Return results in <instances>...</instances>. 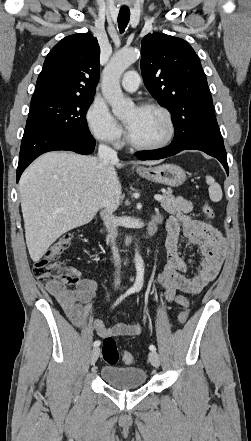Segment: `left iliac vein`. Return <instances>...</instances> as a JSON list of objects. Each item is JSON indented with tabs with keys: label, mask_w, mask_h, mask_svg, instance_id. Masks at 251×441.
<instances>
[{
	"label": "left iliac vein",
	"mask_w": 251,
	"mask_h": 441,
	"mask_svg": "<svg viewBox=\"0 0 251 441\" xmlns=\"http://www.w3.org/2000/svg\"><path fill=\"white\" fill-rule=\"evenodd\" d=\"M149 361L154 367L160 366V357L156 351H151L149 353Z\"/></svg>",
	"instance_id": "left-iliac-vein-1"
}]
</instances>
